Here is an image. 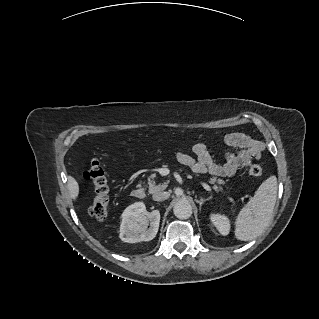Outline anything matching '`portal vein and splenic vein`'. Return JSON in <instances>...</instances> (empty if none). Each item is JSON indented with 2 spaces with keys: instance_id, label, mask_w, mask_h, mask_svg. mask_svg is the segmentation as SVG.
I'll use <instances>...</instances> for the list:
<instances>
[{
  "instance_id": "portal-vein-and-splenic-vein-1",
  "label": "portal vein and splenic vein",
  "mask_w": 319,
  "mask_h": 319,
  "mask_svg": "<svg viewBox=\"0 0 319 319\" xmlns=\"http://www.w3.org/2000/svg\"><path fill=\"white\" fill-rule=\"evenodd\" d=\"M202 186L207 190V191H211V187L206 184V183H202Z\"/></svg>"
}]
</instances>
